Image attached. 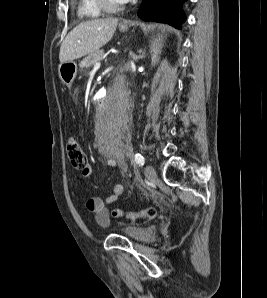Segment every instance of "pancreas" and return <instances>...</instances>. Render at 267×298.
<instances>
[{
	"mask_svg": "<svg viewBox=\"0 0 267 298\" xmlns=\"http://www.w3.org/2000/svg\"><path fill=\"white\" fill-rule=\"evenodd\" d=\"M104 51L103 50H97L92 53H90L86 58H84L79 66L81 69L83 68H90L92 65H94L96 62L101 60L104 56Z\"/></svg>",
	"mask_w": 267,
	"mask_h": 298,
	"instance_id": "cf45deb5",
	"label": "pancreas"
}]
</instances>
